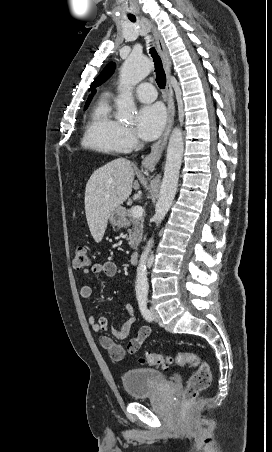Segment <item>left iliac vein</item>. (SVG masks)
Instances as JSON below:
<instances>
[{"label":"left iliac vein","mask_w":272,"mask_h":452,"mask_svg":"<svg viewBox=\"0 0 272 452\" xmlns=\"http://www.w3.org/2000/svg\"><path fill=\"white\" fill-rule=\"evenodd\" d=\"M150 310H151L153 320H155L156 322H160L161 319H160V316H159L158 312L156 311V309L154 307H151Z\"/></svg>","instance_id":"obj_1"}]
</instances>
